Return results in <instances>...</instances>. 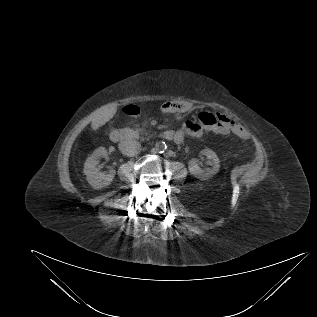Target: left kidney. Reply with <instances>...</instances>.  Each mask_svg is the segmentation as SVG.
<instances>
[{
	"label": "left kidney",
	"mask_w": 317,
	"mask_h": 317,
	"mask_svg": "<svg viewBox=\"0 0 317 317\" xmlns=\"http://www.w3.org/2000/svg\"><path fill=\"white\" fill-rule=\"evenodd\" d=\"M201 154L205 155L210 160L209 164L212 166V168L206 170L200 168L198 165V160L193 158L188 162V169L189 172L195 177L201 180H207L219 171L220 161L216 153L211 149H204L201 151Z\"/></svg>",
	"instance_id": "1"
}]
</instances>
